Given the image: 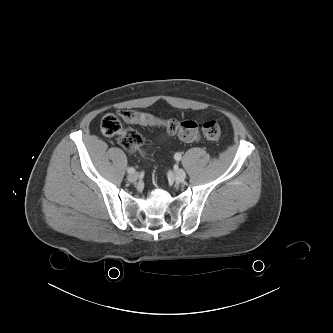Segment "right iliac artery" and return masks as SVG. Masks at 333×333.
Returning a JSON list of instances; mask_svg holds the SVG:
<instances>
[{"instance_id":"82829eb1","label":"right iliac artery","mask_w":333,"mask_h":333,"mask_svg":"<svg viewBox=\"0 0 333 333\" xmlns=\"http://www.w3.org/2000/svg\"><path fill=\"white\" fill-rule=\"evenodd\" d=\"M127 172H128L129 174H132V173L135 172V169H134L133 167H129V168H127Z\"/></svg>"}]
</instances>
